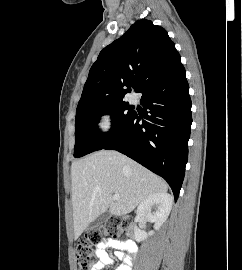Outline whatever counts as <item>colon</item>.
I'll use <instances>...</instances> for the list:
<instances>
[{
    "mask_svg": "<svg viewBox=\"0 0 242 270\" xmlns=\"http://www.w3.org/2000/svg\"><path fill=\"white\" fill-rule=\"evenodd\" d=\"M129 223L118 219H110L103 226L91 230L81 237L75 246L78 270H93L96 258L94 247L105 238L118 239L127 236Z\"/></svg>",
    "mask_w": 242,
    "mask_h": 270,
    "instance_id": "colon-1",
    "label": "colon"
}]
</instances>
